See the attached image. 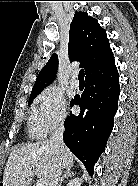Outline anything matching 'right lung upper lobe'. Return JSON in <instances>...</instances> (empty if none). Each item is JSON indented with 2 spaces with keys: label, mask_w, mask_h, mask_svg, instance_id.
Here are the masks:
<instances>
[{
  "label": "right lung upper lobe",
  "mask_w": 138,
  "mask_h": 186,
  "mask_svg": "<svg viewBox=\"0 0 138 186\" xmlns=\"http://www.w3.org/2000/svg\"><path fill=\"white\" fill-rule=\"evenodd\" d=\"M68 54L71 61H80L85 81L118 74L106 30L86 12H76L70 25ZM58 56L53 54L40 71L30 95L39 94L55 78Z\"/></svg>",
  "instance_id": "obj_1"
}]
</instances>
